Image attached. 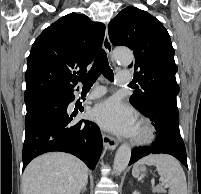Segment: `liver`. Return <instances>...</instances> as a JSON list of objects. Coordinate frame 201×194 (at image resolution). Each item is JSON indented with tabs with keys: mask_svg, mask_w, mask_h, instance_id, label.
Listing matches in <instances>:
<instances>
[{
	"mask_svg": "<svg viewBox=\"0 0 201 194\" xmlns=\"http://www.w3.org/2000/svg\"><path fill=\"white\" fill-rule=\"evenodd\" d=\"M88 168L73 155L53 152L32 160L22 176L23 194H80Z\"/></svg>",
	"mask_w": 201,
	"mask_h": 194,
	"instance_id": "6515ba94",
	"label": "liver"
}]
</instances>
